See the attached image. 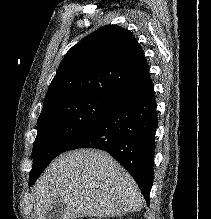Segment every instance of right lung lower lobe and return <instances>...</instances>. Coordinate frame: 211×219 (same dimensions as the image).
I'll list each match as a JSON object with an SVG mask.
<instances>
[{"instance_id":"1","label":"right lung lower lobe","mask_w":211,"mask_h":219,"mask_svg":"<svg viewBox=\"0 0 211 219\" xmlns=\"http://www.w3.org/2000/svg\"><path fill=\"white\" fill-rule=\"evenodd\" d=\"M157 112L152 83L115 104L64 150L97 148L108 152L134 178L149 205L153 183Z\"/></svg>"}]
</instances>
